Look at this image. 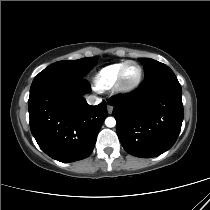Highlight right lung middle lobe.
Instances as JSON below:
<instances>
[{
    "label": "right lung middle lobe",
    "instance_id": "obj_1",
    "mask_svg": "<svg viewBox=\"0 0 210 210\" xmlns=\"http://www.w3.org/2000/svg\"><path fill=\"white\" fill-rule=\"evenodd\" d=\"M96 63V58L93 57L79 60L58 61L49 65L37 76L56 73L84 77Z\"/></svg>",
    "mask_w": 210,
    "mask_h": 210
}]
</instances>
